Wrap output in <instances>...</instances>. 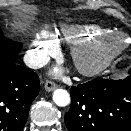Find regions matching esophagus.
<instances>
[{"label": "esophagus", "mask_w": 131, "mask_h": 131, "mask_svg": "<svg viewBox=\"0 0 131 131\" xmlns=\"http://www.w3.org/2000/svg\"><path fill=\"white\" fill-rule=\"evenodd\" d=\"M57 88V85L52 81H46L45 89L46 91L50 92Z\"/></svg>", "instance_id": "1"}]
</instances>
